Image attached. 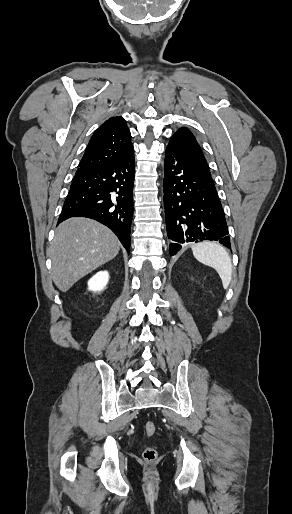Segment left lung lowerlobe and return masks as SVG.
I'll use <instances>...</instances> for the list:
<instances>
[{"mask_svg": "<svg viewBox=\"0 0 292 514\" xmlns=\"http://www.w3.org/2000/svg\"><path fill=\"white\" fill-rule=\"evenodd\" d=\"M164 208L170 255L186 242L214 240L231 248L224 211L211 174L182 148L165 152Z\"/></svg>", "mask_w": 292, "mask_h": 514, "instance_id": "0a47b994", "label": "left lung lower lobe"}]
</instances>
